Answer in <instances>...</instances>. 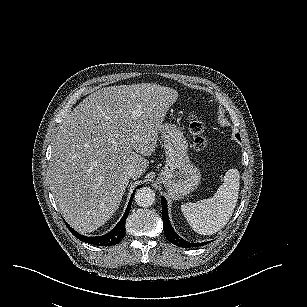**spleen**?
<instances>
[{
	"instance_id": "obj_1",
	"label": "spleen",
	"mask_w": 307,
	"mask_h": 307,
	"mask_svg": "<svg viewBox=\"0 0 307 307\" xmlns=\"http://www.w3.org/2000/svg\"><path fill=\"white\" fill-rule=\"evenodd\" d=\"M239 187V171L229 169L213 197L181 205V211L191 228L201 235H212L220 231L234 212Z\"/></svg>"
}]
</instances>
